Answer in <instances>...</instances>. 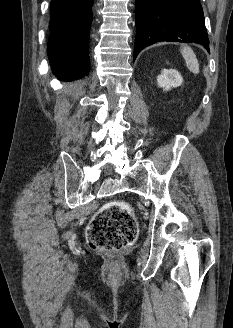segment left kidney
<instances>
[{"mask_svg":"<svg viewBox=\"0 0 233 328\" xmlns=\"http://www.w3.org/2000/svg\"><path fill=\"white\" fill-rule=\"evenodd\" d=\"M183 83V78L175 69H163L161 74L157 77V84L165 91L172 87H178Z\"/></svg>","mask_w":233,"mask_h":328,"instance_id":"5707ae66","label":"left kidney"}]
</instances>
